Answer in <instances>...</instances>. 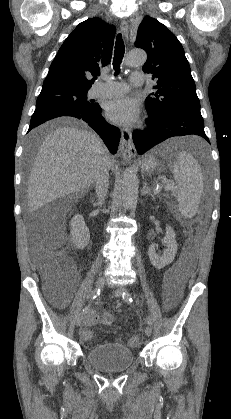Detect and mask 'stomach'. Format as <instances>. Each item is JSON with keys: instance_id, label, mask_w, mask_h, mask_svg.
Wrapping results in <instances>:
<instances>
[{"instance_id": "0dacf381", "label": "stomach", "mask_w": 231, "mask_h": 419, "mask_svg": "<svg viewBox=\"0 0 231 419\" xmlns=\"http://www.w3.org/2000/svg\"><path fill=\"white\" fill-rule=\"evenodd\" d=\"M158 160L153 153L144 155L140 161L141 169L144 172L152 173L158 168Z\"/></svg>"}]
</instances>
